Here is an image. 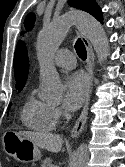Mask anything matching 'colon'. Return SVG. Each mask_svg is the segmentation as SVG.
Masks as SVG:
<instances>
[{
	"label": "colon",
	"mask_w": 125,
	"mask_h": 167,
	"mask_svg": "<svg viewBox=\"0 0 125 167\" xmlns=\"http://www.w3.org/2000/svg\"><path fill=\"white\" fill-rule=\"evenodd\" d=\"M13 167H22V166L17 164V165H14Z\"/></svg>",
	"instance_id": "1"
}]
</instances>
